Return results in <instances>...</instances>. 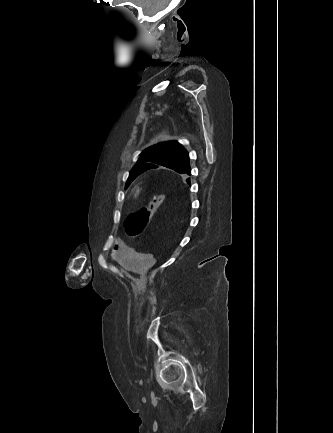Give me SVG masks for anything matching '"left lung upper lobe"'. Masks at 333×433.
I'll return each instance as SVG.
<instances>
[{"mask_svg": "<svg viewBox=\"0 0 333 433\" xmlns=\"http://www.w3.org/2000/svg\"><path fill=\"white\" fill-rule=\"evenodd\" d=\"M146 165L154 167L164 166L178 173H186L190 169L189 155L178 142H164L144 150L136 165L130 172L126 186H128L144 170Z\"/></svg>", "mask_w": 333, "mask_h": 433, "instance_id": "1", "label": "left lung upper lobe"}]
</instances>
